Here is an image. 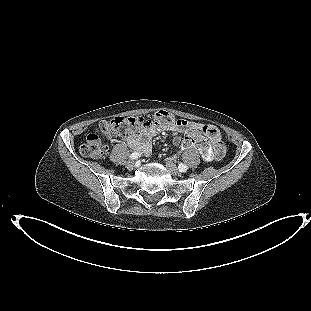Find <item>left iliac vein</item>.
Masks as SVG:
<instances>
[{
	"label": "left iliac vein",
	"mask_w": 311,
	"mask_h": 311,
	"mask_svg": "<svg viewBox=\"0 0 311 311\" xmlns=\"http://www.w3.org/2000/svg\"><path fill=\"white\" fill-rule=\"evenodd\" d=\"M165 165H166V168L168 169V171L172 175H179L180 174L178 168L176 167V165L171 160H169V159L166 160Z\"/></svg>",
	"instance_id": "4c4485c4"
}]
</instances>
